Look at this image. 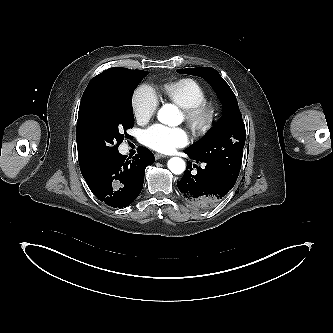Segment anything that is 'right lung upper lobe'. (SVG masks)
<instances>
[{
    "mask_svg": "<svg viewBox=\"0 0 333 333\" xmlns=\"http://www.w3.org/2000/svg\"><path fill=\"white\" fill-rule=\"evenodd\" d=\"M129 70L130 69L120 68V67L110 68V69L103 71L101 74L95 76L89 82V84L86 87V89L83 93V96L81 98L76 128H78V125L80 124V122L82 121V118L85 115V112L88 108L90 96H91L92 92L95 90V88H97L103 82L109 80L114 75L129 71ZM77 148H78V145H77ZM78 161H79L81 173H82L84 179L87 178L90 174H92L100 166V165L93 164L90 161H88L79 148H78Z\"/></svg>",
    "mask_w": 333,
    "mask_h": 333,
    "instance_id": "1",
    "label": "right lung upper lobe"
}]
</instances>
